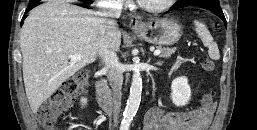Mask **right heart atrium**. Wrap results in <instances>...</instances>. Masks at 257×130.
Returning <instances> with one entry per match:
<instances>
[{"label": "right heart atrium", "instance_id": "d8ad5b80", "mask_svg": "<svg viewBox=\"0 0 257 130\" xmlns=\"http://www.w3.org/2000/svg\"><path fill=\"white\" fill-rule=\"evenodd\" d=\"M127 0H106V4L111 7H120L125 4Z\"/></svg>", "mask_w": 257, "mask_h": 130}]
</instances>
